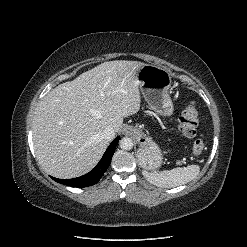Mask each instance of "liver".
<instances>
[{"label": "liver", "instance_id": "1", "mask_svg": "<svg viewBox=\"0 0 247 247\" xmlns=\"http://www.w3.org/2000/svg\"><path fill=\"white\" fill-rule=\"evenodd\" d=\"M138 61L104 62L52 89L35 112L32 133L42 169L62 179L89 172L109 141L102 132L122 129L123 119L136 114L141 97Z\"/></svg>", "mask_w": 247, "mask_h": 247}]
</instances>
